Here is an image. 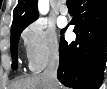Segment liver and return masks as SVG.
Wrapping results in <instances>:
<instances>
[{
  "label": "liver",
  "mask_w": 107,
  "mask_h": 89,
  "mask_svg": "<svg viewBox=\"0 0 107 89\" xmlns=\"http://www.w3.org/2000/svg\"><path fill=\"white\" fill-rule=\"evenodd\" d=\"M57 89H64L58 83ZM9 89H50L49 81L42 75H33L13 82Z\"/></svg>",
  "instance_id": "1"
}]
</instances>
